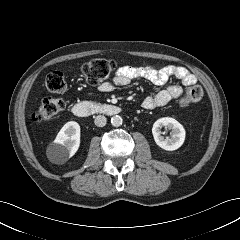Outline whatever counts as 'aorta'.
<instances>
[{
    "label": "aorta",
    "instance_id": "762f6f07",
    "mask_svg": "<svg viewBox=\"0 0 240 240\" xmlns=\"http://www.w3.org/2000/svg\"><path fill=\"white\" fill-rule=\"evenodd\" d=\"M122 122H123V119L121 116L119 115H115L111 118V124L114 126V127H119L122 125Z\"/></svg>",
    "mask_w": 240,
    "mask_h": 240
}]
</instances>
